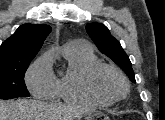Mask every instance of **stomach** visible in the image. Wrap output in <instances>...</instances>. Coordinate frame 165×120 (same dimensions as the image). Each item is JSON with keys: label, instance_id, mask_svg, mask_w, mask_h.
I'll return each instance as SVG.
<instances>
[{"label": "stomach", "instance_id": "1", "mask_svg": "<svg viewBox=\"0 0 165 120\" xmlns=\"http://www.w3.org/2000/svg\"><path fill=\"white\" fill-rule=\"evenodd\" d=\"M83 117L85 120H94V118H101L103 117V120H110L107 115H105L102 112L99 111H89L83 114Z\"/></svg>", "mask_w": 165, "mask_h": 120}]
</instances>
